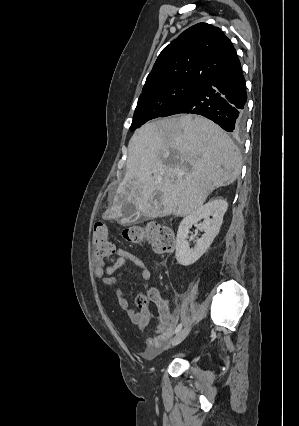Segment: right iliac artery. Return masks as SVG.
I'll return each instance as SVG.
<instances>
[{
    "instance_id": "1",
    "label": "right iliac artery",
    "mask_w": 299,
    "mask_h": 426,
    "mask_svg": "<svg viewBox=\"0 0 299 426\" xmlns=\"http://www.w3.org/2000/svg\"><path fill=\"white\" fill-rule=\"evenodd\" d=\"M182 326H183V323H180V324H179V325L175 328V330H174V334H177V333L181 330Z\"/></svg>"
}]
</instances>
